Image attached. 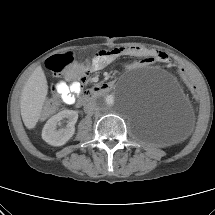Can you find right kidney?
Here are the masks:
<instances>
[{"label": "right kidney", "mask_w": 215, "mask_h": 215, "mask_svg": "<svg viewBox=\"0 0 215 215\" xmlns=\"http://www.w3.org/2000/svg\"><path fill=\"white\" fill-rule=\"evenodd\" d=\"M77 119L78 113L73 110H63L57 113L44 125L42 139L52 146L64 145L74 135ZM62 121H66L67 125L64 128L57 129Z\"/></svg>", "instance_id": "obj_1"}]
</instances>
